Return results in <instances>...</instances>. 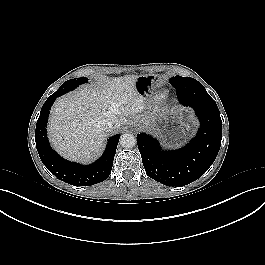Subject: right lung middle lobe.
I'll return each instance as SVG.
<instances>
[{
    "instance_id": "dd1d6c3e",
    "label": "right lung middle lobe",
    "mask_w": 265,
    "mask_h": 265,
    "mask_svg": "<svg viewBox=\"0 0 265 265\" xmlns=\"http://www.w3.org/2000/svg\"><path fill=\"white\" fill-rule=\"evenodd\" d=\"M87 82H88V78H85V77L67 80L51 96L59 97V96L65 94L66 92L75 89L78 85H81V84L87 83Z\"/></svg>"
}]
</instances>
